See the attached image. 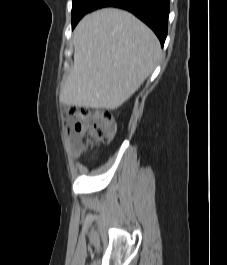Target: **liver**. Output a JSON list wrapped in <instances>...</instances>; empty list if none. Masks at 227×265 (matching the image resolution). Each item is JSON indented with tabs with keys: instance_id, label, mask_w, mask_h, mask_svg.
<instances>
[{
	"instance_id": "6515ba94",
	"label": "liver",
	"mask_w": 227,
	"mask_h": 265,
	"mask_svg": "<svg viewBox=\"0 0 227 265\" xmlns=\"http://www.w3.org/2000/svg\"><path fill=\"white\" fill-rule=\"evenodd\" d=\"M74 65L64 77L60 101L69 106L114 110L128 100L155 69L158 38L123 10L86 15L74 30Z\"/></svg>"
}]
</instances>
